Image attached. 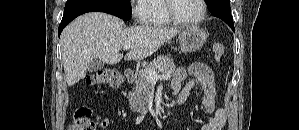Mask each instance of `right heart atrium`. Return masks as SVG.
I'll use <instances>...</instances> for the list:
<instances>
[{
	"mask_svg": "<svg viewBox=\"0 0 299 130\" xmlns=\"http://www.w3.org/2000/svg\"><path fill=\"white\" fill-rule=\"evenodd\" d=\"M149 0L132 1V15L138 22H144L146 19V4Z\"/></svg>",
	"mask_w": 299,
	"mask_h": 130,
	"instance_id": "obj_1",
	"label": "right heart atrium"
}]
</instances>
